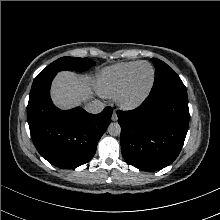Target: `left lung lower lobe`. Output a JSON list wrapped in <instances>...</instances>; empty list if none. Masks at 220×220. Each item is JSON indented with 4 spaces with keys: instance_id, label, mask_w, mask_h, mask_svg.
Instances as JSON below:
<instances>
[{
    "instance_id": "0a47b994",
    "label": "left lung lower lobe",
    "mask_w": 220,
    "mask_h": 220,
    "mask_svg": "<svg viewBox=\"0 0 220 220\" xmlns=\"http://www.w3.org/2000/svg\"><path fill=\"white\" fill-rule=\"evenodd\" d=\"M117 115L122 155L130 165L157 171L177 158L188 131V100L150 94L138 108Z\"/></svg>"
}]
</instances>
